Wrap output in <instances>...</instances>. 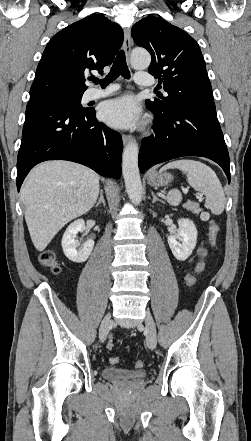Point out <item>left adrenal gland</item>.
<instances>
[{
    "label": "left adrenal gland",
    "mask_w": 251,
    "mask_h": 441,
    "mask_svg": "<svg viewBox=\"0 0 251 441\" xmlns=\"http://www.w3.org/2000/svg\"><path fill=\"white\" fill-rule=\"evenodd\" d=\"M151 194H152V197H153L152 203H155L156 201L163 202L162 200H160V199L155 195V193H154L153 191L151 192Z\"/></svg>",
    "instance_id": "1"
}]
</instances>
